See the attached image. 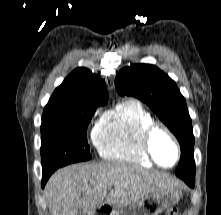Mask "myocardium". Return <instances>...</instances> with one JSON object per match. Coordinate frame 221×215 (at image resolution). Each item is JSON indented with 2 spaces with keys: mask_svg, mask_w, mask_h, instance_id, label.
I'll return each instance as SVG.
<instances>
[{
  "mask_svg": "<svg viewBox=\"0 0 221 215\" xmlns=\"http://www.w3.org/2000/svg\"><path fill=\"white\" fill-rule=\"evenodd\" d=\"M157 132H163L165 135H167L175 148L176 157L174 162L170 165L161 164L154 155L152 149V140ZM141 146L148 159L160 168L169 169L174 167L179 162L181 157V149L177 138L167 126L161 123L153 122L143 131L141 136Z\"/></svg>",
  "mask_w": 221,
  "mask_h": 215,
  "instance_id": "myocardium-1",
  "label": "myocardium"
}]
</instances>
